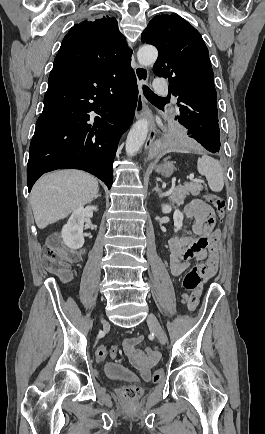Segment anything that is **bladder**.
Listing matches in <instances>:
<instances>
[{
	"mask_svg": "<svg viewBox=\"0 0 265 434\" xmlns=\"http://www.w3.org/2000/svg\"><path fill=\"white\" fill-rule=\"evenodd\" d=\"M103 372L110 379L127 380V381L135 380V376L133 375V373H131L124 366L117 363L108 362L104 364Z\"/></svg>",
	"mask_w": 265,
	"mask_h": 434,
	"instance_id": "bladder-1",
	"label": "bladder"
}]
</instances>
